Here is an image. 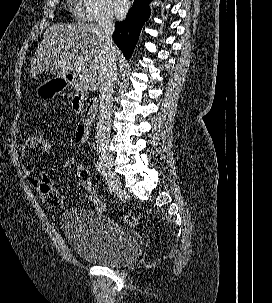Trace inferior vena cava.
I'll list each match as a JSON object with an SVG mask.
<instances>
[{
    "label": "inferior vena cava",
    "instance_id": "obj_1",
    "mask_svg": "<svg viewBox=\"0 0 272 303\" xmlns=\"http://www.w3.org/2000/svg\"><path fill=\"white\" fill-rule=\"evenodd\" d=\"M99 33L103 38V60L101 62V71L99 74V116L96 128L97 149L102 160H110L109 150L113 90L117 78V66L114 53V43L112 35L115 30V24L112 17L107 13L102 15L97 23Z\"/></svg>",
    "mask_w": 272,
    "mask_h": 303
}]
</instances>
